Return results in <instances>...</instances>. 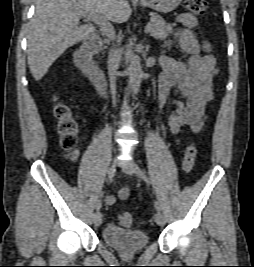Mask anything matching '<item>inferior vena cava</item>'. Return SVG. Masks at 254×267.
Listing matches in <instances>:
<instances>
[{
  "label": "inferior vena cava",
  "instance_id": "inferior-vena-cava-1",
  "mask_svg": "<svg viewBox=\"0 0 254 267\" xmlns=\"http://www.w3.org/2000/svg\"><path fill=\"white\" fill-rule=\"evenodd\" d=\"M118 67V56L117 50L111 49L109 52L108 58V74L110 80V88L112 97L115 103V95H116V69Z\"/></svg>",
  "mask_w": 254,
  "mask_h": 267
}]
</instances>
